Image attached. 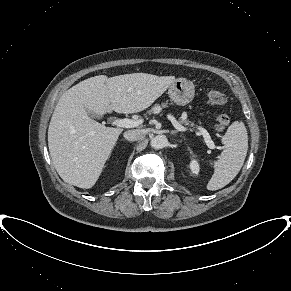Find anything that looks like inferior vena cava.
I'll return each instance as SVG.
<instances>
[{"instance_id": "1", "label": "inferior vena cava", "mask_w": 291, "mask_h": 291, "mask_svg": "<svg viewBox=\"0 0 291 291\" xmlns=\"http://www.w3.org/2000/svg\"><path fill=\"white\" fill-rule=\"evenodd\" d=\"M145 135V130L140 129L128 130L124 133V137L129 141L142 140L144 139Z\"/></svg>"}]
</instances>
